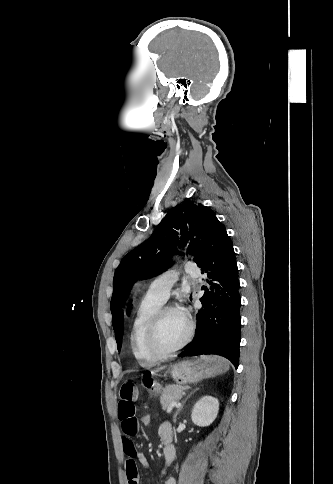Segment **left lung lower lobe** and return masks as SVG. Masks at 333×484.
I'll list each match as a JSON object with an SVG mask.
<instances>
[{"mask_svg": "<svg viewBox=\"0 0 333 484\" xmlns=\"http://www.w3.org/2000/svg\"><path fill=\"white\" fill-rule=\"evenodd\" d=\"M196 263L207 274L209 287H202L204 307L196 316V336L179 357L218 354L237 368L241 340L238 269L231 239L217 218L210 223Z\"/></svg>", "mask_w": 333, "mask_h": 484, "instance_id": "0a47b994", "label": "left lung lower lobe"}]
</instances>
